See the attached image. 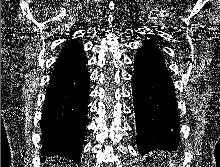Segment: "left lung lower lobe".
I'll list each match as a JSON object with an SVG mask.
<instances>
[{"label": "left lung lower lobe", "instance_id": "0a47b994", "mask_svg": "<svg viewBox=\"0 0 220 167\" xmlns=\"http://www.w3.org/2000/svg\"><path fill=\"white\" fill-rule=\"evenodd\" d=\"M132 81L139 153L177 150L180 119L174 85L159 49L141 48Z\"/></svg>", "mask_w": 220, "mask_h": 167}]
</instances>
